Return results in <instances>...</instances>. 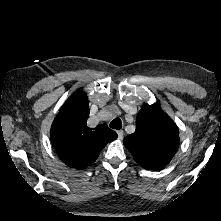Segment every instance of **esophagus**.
I'll return each instance as SVG.
<instances>
[{"label": "esophagus", "instance_id": "esophagus-1", "mask_svg": "<svg viewBox=\"0 0 221 221\" xmlns=\"http://www.w3.org/2000/svg\"><path fill=\"white\" fill-rule=\"evenodd\" d=\"M117 134H118V139H119V140H122V139H123V136H124L123 130L117 131Z\"/></svg>", "mask_w": 221, "mask_h": 221}]
</instances>
